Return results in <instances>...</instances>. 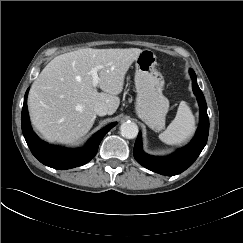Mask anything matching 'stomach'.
<instances>
[{"mask_svg":"<svg viewBox=\"0 0 243 243\" xmlns=\"http://www.w3.org/2000/svg\"><path fill=\"white\" fill-rule=\"evenodd\" d=\"M156 64V55L151 50H142L135 60V110L151 129L159 131L165 125L169 101L162 93L165 81Z\"/></svg>","mask_w":243,"mask_h":243,"instance_id":"obj_1","label":"stomach"}]
</instances>
